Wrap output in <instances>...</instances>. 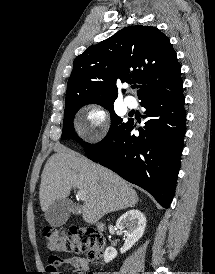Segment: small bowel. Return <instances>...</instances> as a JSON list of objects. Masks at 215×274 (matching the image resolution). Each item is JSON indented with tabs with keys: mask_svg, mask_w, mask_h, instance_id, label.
I'll list each match as a JSON object with an SVG mask.
<instances>
[{
	"mask_svg": "<svg viewBox=\"0 0 215 274\" xmlns=\"http://www.w3.org/2000/svg\"><path fill=\"white\" fill-rule=\"evenodd\" d=\"M62 266L73 267L78 274H107L105 272L93 273L90 270L88 259L82 255L61 258L58 256H50L46 267L49 274H64L59 271ZM52 272V273H51Z\"/></svg>",
	"mask_w": 215,
	"mask_h": 274,
	"instance_id": "1",
	"label": "small bowel"
}]
</instances>
